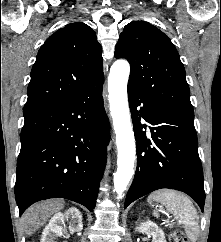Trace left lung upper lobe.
<instances>
[{
	"instance_id": "left-lung-upper-lobe-1",
	"label": "left lung upper lobe",
	"mask_w": 221,
	"mask_h": 242,
	"mask_svg": "<svg viewBox=\"0 0 221 242\" xmlns=\"http://www.w3.org/2000/svg\"><path fill=\"white\" fill-rule=\"evenodd\" d=\"M115 57L130 63L128 87L155 106L194 118L184 66L171 40L158 28L145 21L127 24Z\"/></svg>"
}]
</instances>
